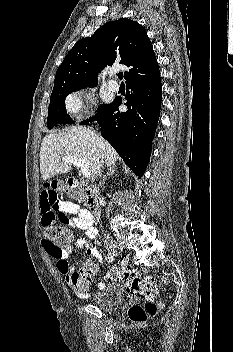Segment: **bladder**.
<instances>
[{
    "mask_svg": "<svg viewBox=\"0 0 233 352\" xmlns=\"http://www.w3.org/2000/svg\"><path fill=\"white\" fill-rule=\"evenodd\" d=\"M125 300L124 292L120 286L108 285L100 288L93 297V303L101 310L114 313Z\"/></svg>",
    "mask_w": 233,
    "mask_h": 352,
    "instance_id": "31cf9c89",
    "label": "bladder"
}]
</instances>
